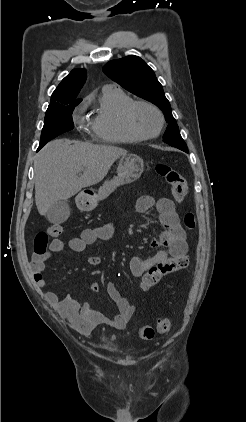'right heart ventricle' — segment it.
I'll use <instances>...</instances> for the list:
<instances>
[{"instance_id": "1", "label": "right heart ventricle", "mask_w": 246, "mask_h": 422, "mask_svg": "<svg viewBox=\"0 0 246 422\" xmlns=\"http://www.w3.org/2000/svg\"><path fill=\"white\" fill-rule=\"evenodd\" d=\"M133 101L118 87L106 86L102 89L91 120L97 140L106 143H134L140 140L128 131L123 121V111Z\"/></svg>"}]
</instances>
